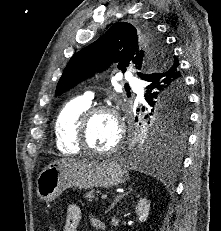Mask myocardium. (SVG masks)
<instances>
[{
  "mask_svg": "<svg viewBox=\"0 0 221 231\" xmlns=\"http://www.w3.org/2000/svg\"><path fill=\"white\" fill-rule=\"evenodd\" d=\"M99 113L111 115L118 129L116 142L107 150H94L88 144V128L92 118ZM125 138V125L118 110L110 105H96L89 107L79 118L76 130V143L84 152L95 156H106L116 152L123 144Z\"/></svg>",
  "mask_w": 221,
  "mask_h": 231,
  "instance_id": "obj_1",
  "label": "myocardium"
}]
</instances>
